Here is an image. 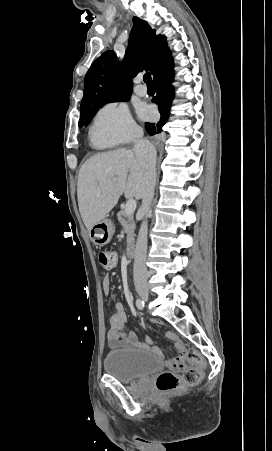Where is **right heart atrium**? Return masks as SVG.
<instances>
[{
	"mask_svg": "<svg viewBox=\"0 0 272 451\" xmlns=\"http://www.w3.org/2000/svg\"><path fill=\"white\" fill-rule=\"evenodd\" d=\"M136 132V124L123 105L109 104L100 109L91 127V138L96 144L126 143Z\"/></svg>",
	"mask_w": 272,
	"mask_h": 451,
	"instance_id": "1",
	"label": "right heart atrium"
}]
</instances>
